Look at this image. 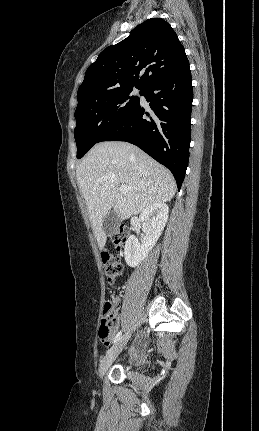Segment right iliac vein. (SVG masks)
<instances>
[{"mask_svg": "<svg viewBox=\"0 0 259 431\" xmlns=\"http://www.w3.org/2000/svg\"><path fill=\"white\" fill-rule=\"evenodd\" d=\"M130 338V334H125L122 338L118 340V342L107 352L106 356L104 357L103 361L100 364L99 368V377L103 378L109 367L112 365V363L115 361L117 356L121 353L124 346L127 344L128 340Z\"/></svg>", "mask_w": 259, "mask_h": 431, "instance_id": "1", "label": "right iliac vein"}]
</instances>
